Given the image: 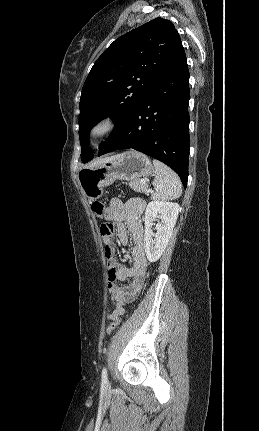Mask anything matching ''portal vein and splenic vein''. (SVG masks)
Wrapping results in <instances>:
<instances>
[{"mask_svg":"<svg viewBox=\"0 0 259 431\" xmlns=\"http://www.w3.org/2000/svg\"><path fill=\"white\" fill-rule=\"evenodd\" d=\"M140 181H141V183H143V184H144V183H146V181H145V180H140Z\"/></svg>","mask_w":259,"mask_h":431,"instance_id":"obj_1","label":"portal vein and splenic vein"}]
</instances>
